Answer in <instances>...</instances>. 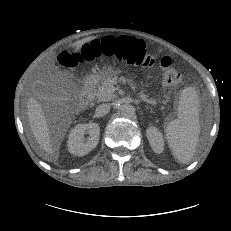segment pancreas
<instances>
[{
  "label": "pancreas",
  "mask_w": 231,
  "mask_h": 231,
  "mask_svg": "<svg viewBox=\"0 0 231 231\" xmlns=\"http://www.w3.org/2000/svg\"><path fill=\"white\" fill-rule=\"evenodd\" d=\"M118 81H121L123 83H128L132 89L136 90L137 86L136 84L129 79H126L124 77H121L120 79L117 78V76L114 77H107L105 78L101 84L98 85L97 88L93 89L91 91V96L92 98H95L98 102H106V101H111L115 98L114 92L111 90L113 85H115ZM139 97L152 105H156L157 101L155 99L149 98L148 95L144 93V90L140 91Z\"/></svg>",
  "instance_id": "cf45deb5"
}]
</instances>
